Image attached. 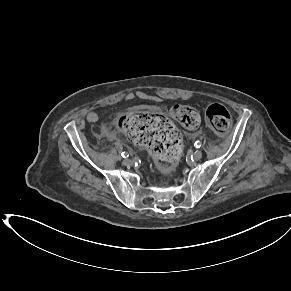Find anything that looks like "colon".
<instances>
[{
    "label": "colon",
    "mask_w": 291,
    "mask_h": 291,
    "mask_svg": "<svg viewBox=\"0 0 291 291\" xmlns=\"http://www.w3.org/2000/svg\"><path fill=\"white\" fill-rule=\"evenodd\" d=\"M172 116L189 129H195L200 124L199 113L185 104L175 105ZM205 120L218 133L226 132L232 123L229 111L221 104L209 105L205 111ZM117 126L135 144L148 149L157 157L163 173H169L174 168L182 143L177 129L168 118L138 111L119 117Z\"/></svg>",
    "instance_id": "5ec220e1"
}]
</instances>
